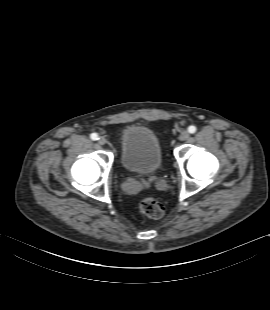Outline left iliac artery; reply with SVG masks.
I'll use <instances>...</instances> for the list:
<instances>
[{
    "label": "left iliac artery",
    "instance_id": "1",
    "mask_svg": "<svg viewBox=\"0 0 270 310\" xmlns=\"http://www.w3.org/2000/svg\"><path fill=\"white\" fill-rule=\"evenodd\" d=\"M196 130H197V128H196L195 126H193V125L189 126V128H188V131H189V133H191V134L195 133Z\"/></svg>",
    "mask_w": 270,
    "mask_h": 310
}]
</instances>
